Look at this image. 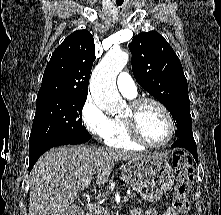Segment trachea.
I'll use <instances>...</instances> for the list:
<instances>
[{
  "label": "trachea",
  "instance_id": "trachea-1",
  "mask_svg": "<svg viewBox=\"0 0 221 215\" xmlns=\"http://www.w3.org/2000/svg\"><path fill=\"white\" fill-rule=\"evenodd\" d=\"M117 5H118V6L121 5V3H118Z\"/></svg>",
  "mask_w": 221,
  "mask_h": 215
}]
</instances>
